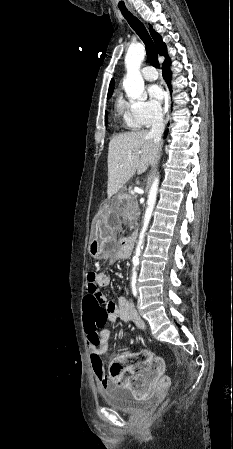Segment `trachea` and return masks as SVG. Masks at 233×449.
Returning <instances> with one entry per match:
<instances>
[{
  "label": "trachea",
  "instance_id": "obj_1",
  "mask_svg": "<svg viewBox=\"0 0 233 449\" xmlns=\"http://www.w3.org/2000/svg\"><path fill=\"white\" fill-rule=\"evenodd\" d=\"M119 9L131 28L138 34L140 39L145 44L147 59L149 60V62L153 66L159 68L160 64L158 61L156 46L143 23H141L135 16H133V14L126 8V6H119Z\"/></svg>",
  "mask_w": 233,
  "mask_h": 449
}]
</instances>
